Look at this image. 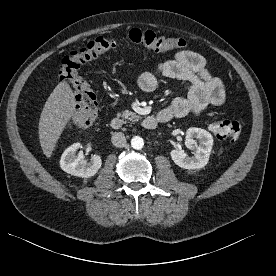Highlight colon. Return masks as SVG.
I'll return each mask as SVG.
<instances>
[{
	"label": "colon",
	"instance_id": "colon-1",
	"mask_svg": "<svg viewBox=\"0 0 276 276\" xmlns=\"http://www.w3.org/2000/svg\"><path fill=\"white\" fill-rule=\"evenodd\" d=\"M127 45L143 46L153 51L165 52L181 49L186 43L181 38L159 35L151 30L132 29L122 38L97 37L65 56L60 66V78L67 82L73 95L74 112L70 120L72 125L90 126L98 114L96 95L79 74L81 66ZM209 129L218 138L235 140L240 136L243 124L238 120H217L209 125Z\"/></svg>",
	"mask_w": 276,
	"mask_h": 276
}]
</instances>
